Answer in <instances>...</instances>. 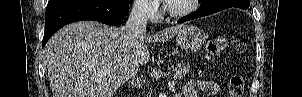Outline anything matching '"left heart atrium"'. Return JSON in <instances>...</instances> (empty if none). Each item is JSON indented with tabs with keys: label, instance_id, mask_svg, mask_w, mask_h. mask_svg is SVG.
Wrapping results in <instances>:
<instances>
[{
	"label": "left heart atrium",
	"instance_id": "left-heart-atrium-1",
	"mask_svg": "<svg viewBox=\"0 0 302 97\" xmlns=\"http://www.w3.org/2000/svg\"><path fill=\"white\" fill-rule=\"evenodd\" d=\"M172 0H166L165 2H167V3H169V2H171Z\"/></svg>",
	"mask_w": 302,
	"mask_h": 97
}]
</instances>
